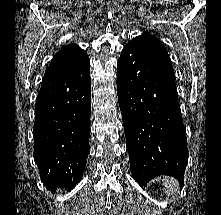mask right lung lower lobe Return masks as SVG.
<instances>
[{
	"label": "right lung lower lobe",
	"instance_id": "1",
	"mask_svg": "<svg viewBox=\"0 0 221 215\" xmlns=\"http://www.w3.org/2000/svg\"><path fill=\"white\" fill-rule=\"evenodd\" d=\"M86 57L43 78L36 99L34 160L44 185L74 186L89 153L91 80Z\"/></svg>",
	"mask_w": 221,
	"mask_h": 215
}]
</instances>
